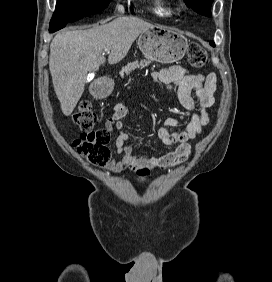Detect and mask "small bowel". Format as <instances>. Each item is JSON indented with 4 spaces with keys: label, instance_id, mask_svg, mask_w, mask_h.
<instances>
[{
    "label": "small bowel",
    "instance_id": "c3829d8e",
    "mask_svg": "<svg viewBox=\"0 0 272 282\" xmlns=\"http://www.w3.org/2000/svg\"><path fill=\"white\" fill-rule=\"evenodd\" d=\"M152 79L164 84L167 89L177 88L180 104L191 112V119L184 131H170V128L178 127L181 123L177 117H169L164 126L158 131V136L166 147L176 145L173 151L157 152L153 156L134 153L131 150V139L123 131L122 120L128 114V108L124 104L115 106L112 115L105 122L109 130L116 128V152L121 155L119 159H112L105 166V170L111 173H121L127 169L146 165L151 168L167 169L175 167L189 160L192 156L190 141L201 134L203 127L210 121V109L215 103L214 92L216 90L217 76L214 72L207 75L192 74L188 69L180 66H169L154 74ZM192 91L196 98L192 97Z\"/></svg>",
    "mask_w": 272,
    "mask_h": 282
}]
</instances>
